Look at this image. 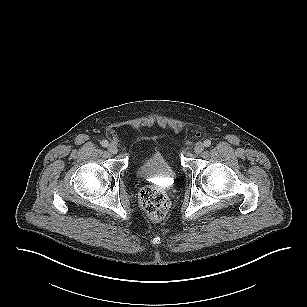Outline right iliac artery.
<instances>
[{
    "instance_id": "82829eb1",
    "label": "right iliac artery",
    "mask_w": 307,
    "mask_h": 307,
    "mask_svg": "<svg viewBox=\"0 0 307 307\" xmlns=\"http://www.w3.org/2000/svg\"><path fill=\"white\" fill-rule=\"evenodd\" d=\"M108 141L107 140H103L102 142H101V145L103 146V147H107L108 146Z\"/></svg>"
}]
</instances>
